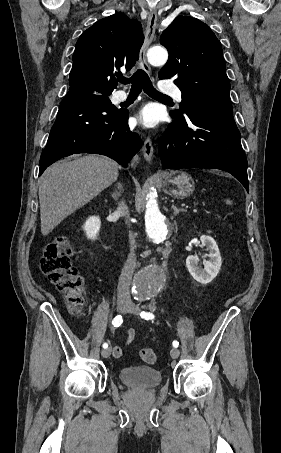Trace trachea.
I'll return each mask as SVG.
<instances>
[{
  "label": "trachea",
  "instance_id": "obj_1",
  "mask_svg": "<svg viewBox=\"0 0 281 453\" xmlns=\"http://www.w3.org/2000/svg\"><path fill=\"white\" fill-rule=\"evenodd\" d=\"M120 83L127 85L131 83V90L129 97L136 98L143 89L147 95L152 97H168L164 93L158 92L152 85V82L144 70H137L132 77L126 78L123 76L118 77ZM169 98V97H168Z\"/></svg>",
  "mask_w": 281,
  "mask_h": 453
}]
</instances>
